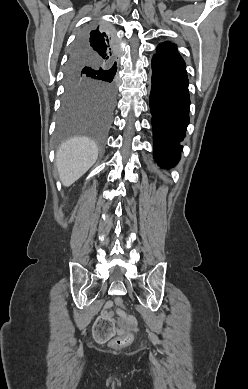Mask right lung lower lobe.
Returning <instances> with one entry per match:
<instances>
[{
	"instance_id": "right-lung-lower-lobe-1",
	"label": "right lung lower lobe",
	"mask_w": 248,
	"mask_h": 389,
	"mask_svg": "<svg viewBox=\"0 0 248 389\" xmlns=\"http://www.w3.org/2000/svg\"><path fill=\"white\" fill-rule=\"evenodd\" d=\"M107 34H108V37H109L108 40L111 42L112 47L115 48V46L117 45V43H116V40H115V38H114V35H113L111 32H109V31H107ZM82 39H83V37H79L74 47H78V48H80L81 50H83V51H85L86 53H88V51L82 47L83 44H82V43H78V42L81 41Z\"/></svg>"
}]
</instances>
